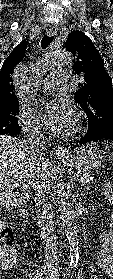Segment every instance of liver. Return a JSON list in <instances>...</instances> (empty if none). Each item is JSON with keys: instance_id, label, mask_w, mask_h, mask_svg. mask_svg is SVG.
I'll return each mask as SVG.
<instances>
[{"instance_id": "liver-1", "label": "liver", "mask_w": 113, "mask_h": 279, "mask_svg": "<svg viewBox=\"0 0 113 279\" xmlns=\"http://www.w3.org/2000/svg\"><path fill=\"white\" fill-rule=\"evenodd\" d=\"M49 175L48 164L41 155L31 151L25 142L0 135V210L14 198L16 182L33 186L37 174Z\"/></svg>"}]
</instances>
